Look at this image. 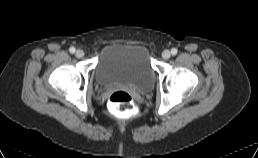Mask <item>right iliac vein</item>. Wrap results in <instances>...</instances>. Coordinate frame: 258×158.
I'll list each match as a JSON object with an SVG mask.
<instances>
[{
	"instance_id": "63e3f726",
	"label": "right iliac vein",
	"mask_w": 258,
	"mask_h": 158,
	"mask_svg": "<svg viewBox=\"0 0 258 158\" xmlns=\"http://www.w3.org/2000/svg\"><path fill=\"white\" fill-rule=\"evenodd\" d=\"M84 56V51L82 49H78L76 51V57L82 58Z\"/></svg>"
}]
</instances>
